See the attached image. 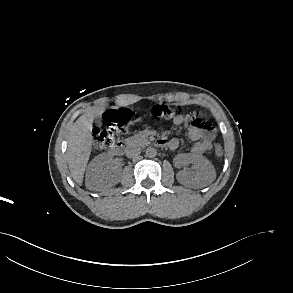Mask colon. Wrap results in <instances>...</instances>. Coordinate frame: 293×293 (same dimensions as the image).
<instances>
[{"mask_svg":"<svg viewBox=\"0 0 293 293\" xmlns=\"http://www.w3.org/2000/svg\"><path fill=\"white\" fill-rule=\"evenodd\" d=\"M178 109L169 105H155L151 109V115L159 120L165 121L172 118ZM200 118L206 119V114L199 111L196 113ZM129 118L127 109H112L104 114V126L94 128V147L98 150L109 149L115 143L116 137L121 128ZM214 154L217 158L223 155V149L220 145H216Z\"/></svg>","mask_w":293,"mask_h":293,"instance_id":"5ec220e1","label":"colon"}]
</instances>
